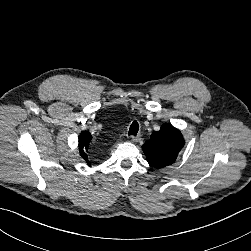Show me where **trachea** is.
I'll return each mask as SVG.
<instances>
[{
	"label": "trachea",
	"mask_w": 251,
	"mask_h": 251,
	"mask_svg": "<svg viewBox=\"0 0 251 251\" xmlns=\"http://www.w3.org/2000/svg\"><path fill=\"white\" fill-rule=\"evenodd\" d=\"M139 130V124L137 121H134L129 128L128 135L136 136Z\"/></svg>",
	"instance_id": "trachea-1"
}]
</instances>
